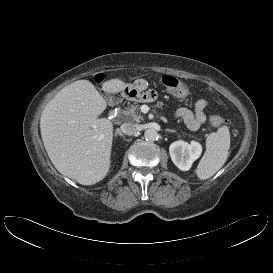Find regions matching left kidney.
<instances>
[{
	"instance_id": "obj_1",
	"label": "left kidney",
	"mask_w": 273,
	"mask_h": 273,
	"mask_svg": "<svg viewBox=\"0 0 273 273\" xmlns=\"http://www.w3.org/2000/svg\"><path fill=\"white\" fill-rule=\"evenodd\" d=\"M169 153L171 160L180 170L188 171L193 162L200 157L202 146L196 141L188 143L178 140L170 145Z\"/></svg>"
}]
</instances>
